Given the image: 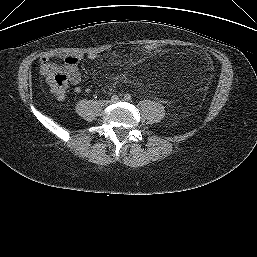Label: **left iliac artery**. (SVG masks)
<instances>
[{
	"mask_svg": "<svg viewBox=\"0 0 257 257\" xmlns=\"http://www.w3.org/2000/svg\"><path fill=\"white\" fill-rule=\"evenodd\" d=\"M124 99L126 101H130L131 100V95L130 94H125Z\"/></svg>",
	"mask_w": 257,
	"mask_h": 257,
	"instance_id": "obj_1",
	"label": "left iliac artery"
}]
</instances>
